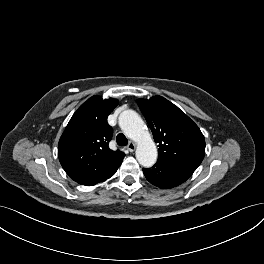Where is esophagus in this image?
<instances>
[{
	"mask_svg": "<svg viewBox=\"0 0 264 264\" xmlns=\"http://www.w3.org/2000/svg\"><path fill=\"white\" fill-rule=\"evenodd\" d=\"M136 148V144L132 141L129 142V144L127 145V149L130 151V152H133Z\"/></svg>",
	"mask_w": 264,
	"mask_h": 264,
	"instance_id": "esophagus-1",
	"label": "esophagus"
}]
</instances>
